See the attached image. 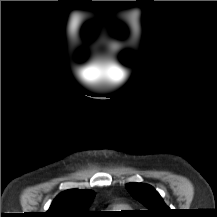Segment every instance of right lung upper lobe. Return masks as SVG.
<instances>
[{
  "mask_svg": "<svg viewBox=\"0 0 217 217\" xmlns=\"http://www.w3.org/2000/svg\"><path fill=\"white\" fill-rule=\"evenodd\" d=\"M94 197L92 190L69 189L60 193L52 202L44 217H92L88 211Z\"/></svg>",
  "mask_w": 217,
  "mask_h": 217,
  "instance_id": "cb5924a9",
  "label": "right lung upper lobe"
}]
</instances>
